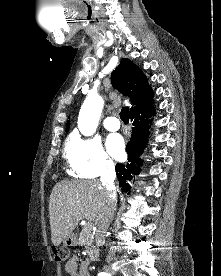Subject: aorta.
<instances>
[{"mask_svg":"<svg viewBox=\"0 0 221 276\" xmlns=\"http://www.w3.org/2000/svg\"><path fill=\"white\" fill-rule=\"evenodd\" d=\"M103 106L104 101L98 95L86 98L80 109L77 122L78 128L83 135L91 136L95 133Z\"/></svg>","mask_w":221,"mask_h":276,"instance_id":"762f6f07","label":"aorta"}]
</instances>
